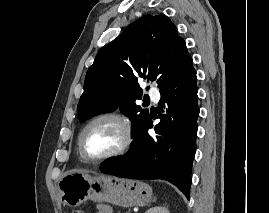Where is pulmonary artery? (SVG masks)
I'll return each mask as SVG.
<instances>
[{
  "mask_svg": "<svg viewBox=\"0 0 270 213\" xmlns=\"http://www.w3.org/2000/svg\"><path fill=\"white\" fill-rule=\"evenodd\" d=\"M149 95L154 99V100H158L160 97L159 92L156 90V88H154L153 86L150 87L149 89Z\"/></svg>",
  "mask_w": 270,
  "mask_h": 213,
  "instance_id": "1",
  "label": "pulmonary artery"
}]
</instances>
